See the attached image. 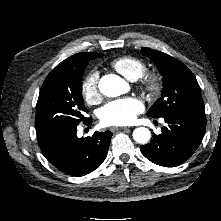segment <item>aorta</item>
<instances>
[{
	"instance_id": "762f6f07",
	"label": "aorta",
	"mask_w": 221,
	"mask_h": 221,
	"mask_svg": "<svg viewBox=\"0 0 221 221\" xmlns=\"http://www.w3.org/2000/svg\"><path fill=\"white\" fill-rule=\"evenodd\" d=\"M100 92L107 97H117L127 91V83L117 75H104L99 81ZM151 132L148 128L139 127L133 131V139L139 144L149 142Z\"/></svg>"
}]
</instances>
